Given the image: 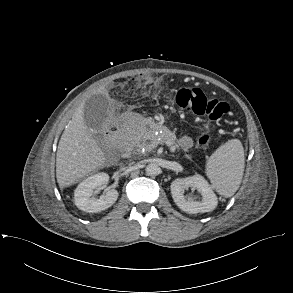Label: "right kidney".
Here are the masks:
<instances>
[{
	"mask_svg": "<svg viewBox=\"0 0 293 293\" xmlns=\"http://www.w3.org/2000/svg\"><path fill=\"white\" fill-rule=\"evenodd\" d=\"M108 180L109 176L104 172L94 174L83 180L74 191L75 205L80 210L88 213H98L111 207L118 198L117 190H108L99 199L91 197L93 190L102 185H106Z\"/></svg>",
	"mask_w": 293,
	"mask_h": 293,
	"instance_id": "1",
	"label": "right kidney"
}]
</instances>
